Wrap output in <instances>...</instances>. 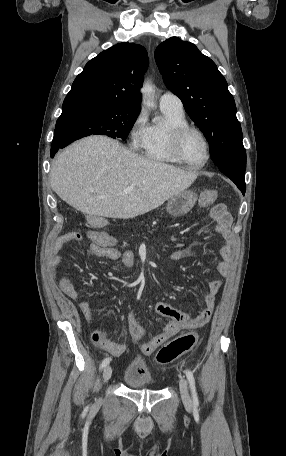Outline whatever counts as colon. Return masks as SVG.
<instances>
[{"instance_id":"colon-1","label":"colon","mask_w":286,"mask_h":456,"mask_svg":"<svg viewBox=\"0 0 286 456\" xmlns=\"http://www.w3.org/2000/svg\"><path fill=\"white\" fill-rule=\"evenodd\" d=\"M217 192L214 190L205 191L200 202L206 206L212 204L217 199ZM74 237L78 238L80 233L74 232ZM198 336L195 333L180 335L162 347L156 355V360L161 365H166L176 360L181 355L191 351L198 343Z\"/></svg>"}]
</instances>
